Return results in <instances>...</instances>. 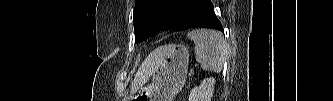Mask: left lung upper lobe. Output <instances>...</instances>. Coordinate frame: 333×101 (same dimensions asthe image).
<instances>
[{"mask_svg": "<svg viewBox=\"0 0 333 101\" xmlns=\"http://www.w3.org/2000/svg\"><path fill=\"white\" fill-rule=\"evenodd\" d=\"M183 16L179 0H136L133 12L135 42L162 30L179 31V20Z\"/></svg>", "mask_w": 333, "mask_h": 101, "instance_id": "1", "label": "left lung upper lobe"}]
</instances>
